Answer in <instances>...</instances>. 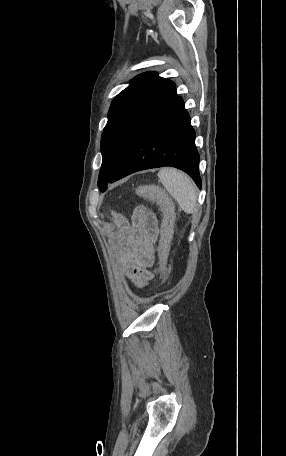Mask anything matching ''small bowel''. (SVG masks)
<instances>
[{"mask_svg":"<svg viewBox=\"0 0 286 456\" xmlns=\"http://www.w3.org/2000/svg\"><path fill=\"white\" fill-rule=\"evenodd\" d=\"M115 221L119 229L112 247L118 271L136 287H143L154 278L150 269L155 262L157 217L154 212L138 207L131 222L120 216Z\"/></svg>","mask_w":286,"mask_h":456,"instance_id":"c3829d8e","label":"small bowel"}]
</instances>
